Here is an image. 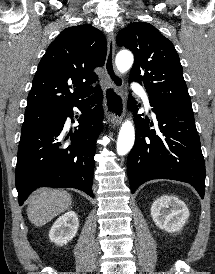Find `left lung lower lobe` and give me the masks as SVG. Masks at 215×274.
Returning a JSON list of instances; mask_svg holds the SVG:
<instances>
[{
    "instance_id": "obj_1",
    "label": "left lung lower lobe",
    "mask_w": 215,
    "mask_h": 274,
    "mask_svg": "<svg viewBox=\"0 0 215 274\" xmlns=\"http://www.w3.org/2000/svg\"><path fill=\"white\" fill-rule=\"evenodd\" d=\"M154 121L134 114L136 141L128 160L131 192L153 179H172L191 184L204 198L205 162L193 111L149 96ZM132 112L135 101L128 102Z\"/></svg>"
}]
</instances>
